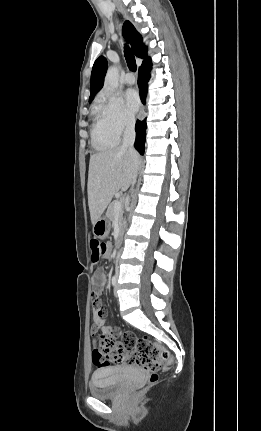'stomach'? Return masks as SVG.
Returning <instances> with one entry per match:
<instances>
[{"mask_svg": "<svg viewBox=\"0 0 261 431\" xmlns=\"http://www.w3.org/2000/svg\"><path fill=\"white\" fill-rule=\"evenodd\" d=\"M110 232V222L107 219V217L103 216L100 217L94 224H93V234L100 238H106Z\"/></svg>", "mask_w": 261, "mask_h": 431, "instance_id": "1", "label": "stomach"}]
</instances>
